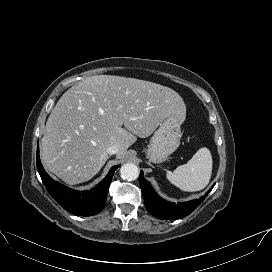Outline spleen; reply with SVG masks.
<instances>
[{"instance_id": "1", "label": "spleen", "mask_w": 272, "mask_h": 272, "mask_svg": "<svg viewBox=\"0 0 272 272\" xmlns=\"http://www.w3.org/2000/svg\"><path fill=\"white\" fill-rule=\"evenodd\" d=\"M212 164L210 150L203 147L186 164L178 166L173 172H167V179L183 191H200L209 184Z\"/></svg>"}]
</instances>
